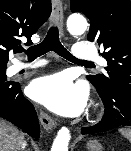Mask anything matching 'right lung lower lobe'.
Returning <instances> with one entry per match:
<instances>
[{"instance_id":"right-lung-lower-lobe-1","label":"right lung lower lobe","mask_w":131,"mask_h":151,"mask_svg":"<svg viewBox=\"0 0 131 151\" xmlns=\"http://www.w3.org/2000/svg\"><path fill=\"white\" fill-rule=\"evenodd\" d=\"M0 117L18 125L33 138L40 137L37 113L30 101L22 94L15 81L0 79Z\"/></svg>"}]
</instances>
